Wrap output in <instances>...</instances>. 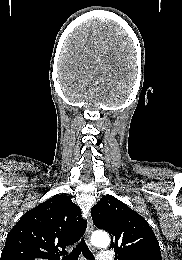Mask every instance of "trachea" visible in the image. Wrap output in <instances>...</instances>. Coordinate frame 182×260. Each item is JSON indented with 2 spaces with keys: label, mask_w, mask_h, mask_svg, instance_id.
<instances>
[{
  "label": "trachea",
  "mask_w": 182,
  "mask_h": 260,
  "mask_svg": "<svg viewBox=\"0 0 182 260\" xmlns=\"http://www.w3.org/2000/svg\"><path fill=\"white\" fill-rule=\"evenodd\" d=\"M81 253L87 260H94V256L89 250L84 238H82L76 247L73 248L72 252L69 255L64 256L62 260H78Z\"/></svg>",
  "instance_id": "3493384b"
}]
</instances>
